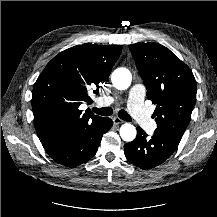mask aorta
I'll use <instances>...</instances> for the list:
<instances>
[{"label":"aorta","mask_w":217,"mask_h":217,"mask_svg":"<svg viewBox=\"0 0 217 217\" xmlns=\"http://www.w3.org/2000/svg\"><path fill=\"white\" fill-rule=\"evenodd\" d=\"M111 81L116 89L126 90L132 82L131 72L127 68H117L112 73ZM119 132L121 138L126 142L133 141L137 134L136 128L130 123L123 124Z\"/></svg>","instance_id":"1"}]
</instances>
